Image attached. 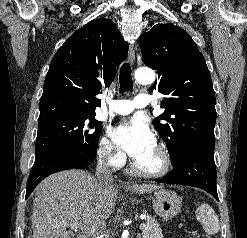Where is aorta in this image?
Wrapping results in <instances>:
<instances>
[{"mask_svg": "<svg viewBox=\"0 0 247 238\" xmlns=\"http://www.w3.org/2000/svg\"><path fill=\"white\" fill-rule=\"evenodd\" d=\"M135 79L141 84H152L155 80V74L151 69L141 68L135 72Z\"/></svg>", "mask_w": 247, "mask_h": 238, "instance_id": "762f6f07", "label": "aorta"}]
</instances>
